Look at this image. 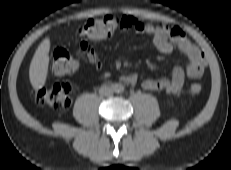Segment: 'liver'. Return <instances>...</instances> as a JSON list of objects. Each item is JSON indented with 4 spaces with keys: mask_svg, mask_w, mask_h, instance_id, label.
<instances>
[{
    "mask_svg": "<svg viewBox=\"0 0 231 170\" xmlns=\"http://www.w3.org/2000/svg\"><path fill=\"white\" fill-rule=\"evenodd\" d=\"M50 39L45 38L38 46L29 68V79L35 90L41 89L47 78L49 66Z\"/></svg>",
    "mask_w": 231,
    "mask_h": 170,
    "instance_id": "obj_1",
    "label": "liver"
}]
</instances>
